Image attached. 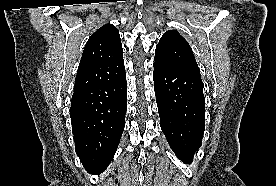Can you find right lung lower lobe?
Instances as JSON below:
<instances>
[{
  "label": "right lung lower lobe",
  "mask_w": 276,
  "mask_h": 186,
  "mask_svg": "<svg viewBox=\"0 0 276 186\" xmlns=\"http://www.w3.org/2000/svg\"><path fill=\"white\" fill-rule=\"evenodd\" d=\"M127 111L126 73L116 81L74 89L70 117L75 150L85 169L100 174L119 145Z\"/></svg>",
  "instance_id": "1"
}]
</instances>
